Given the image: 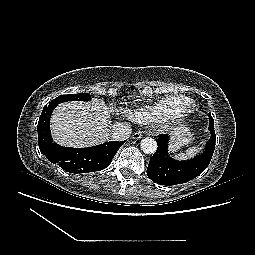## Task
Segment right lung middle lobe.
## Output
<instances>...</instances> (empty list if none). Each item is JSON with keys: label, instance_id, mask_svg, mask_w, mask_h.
<instances>
[{"label": "right lung middle lobe", "instance_id": "right-lung-middle-lobe-1", "mask_svg": "<svg viewBox=\"0 0 255 255\" xmlns=\"http://www.w3.org/2000/svg\"><path fill=\"white\" fill-rule=\"evenodd\" d=\"M91 99L90 94L88 93H79V94H68V95H60L57 98L53 99L49 105L45 106L43 108L42 114L40 116V120L41 118H45V117H50L52 111L54 110V108L62 103V102H66V101H89Z\"/></svg>", "mask_w": 255, "mask_h": 255}]
</instances>
